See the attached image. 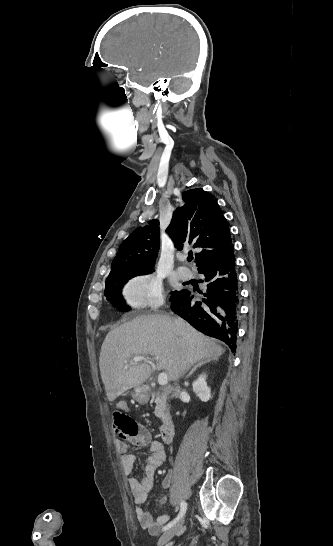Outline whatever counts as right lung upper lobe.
Here are the masks:
<instances>
[{
	"instance_id": "cb5924a9",
	"label": "right lung upper lobe",
	"mask_w": 333,
	"mask_h": 546,
	"mask_svg": "<svg viewBox=\"0 0 333 546\" xmlns=\"http://www.w3.org/2000/svg\"><path fill=\"white\" fill-rule=\"evenodd\" d=\"M182 198L185 205L173 213L166 232L179 250L187 246L203 249L196 253L195 263L199 269L232 245L230 231L213 195L197 188L184 192ZM159 247V222L152 220L122 242L111 271L154 270Z\"/></svg>"
}]
</instances>
